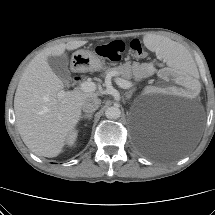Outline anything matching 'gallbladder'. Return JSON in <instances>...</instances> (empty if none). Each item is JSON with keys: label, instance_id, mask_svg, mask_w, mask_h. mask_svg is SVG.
<instances>
[{"label": "gallbladder", "instance_id": "bac80fb5", "mask_svg": "<svg viewBox=\"0 0 215 215\" xmlns=\"http://www.w3.org/2000/svg\"><path fill=\"white\" fill-rule=\"evenodd\" d=\"M47 62L52 71L65 83L71 79L68 69V58L66 54L61 56H49Z\"/></svg>", "mask_w": 215, "mask_h": 215}]
</instances>
